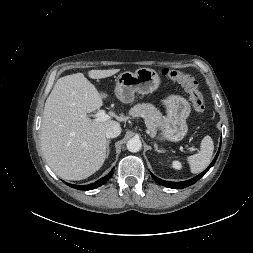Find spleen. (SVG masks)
<instances>
[{"label": "spleen", "instance_id": "3e777b00", "mask_svg": "<svg viewBox=\"0 0 253 253\" xmlns=\"http://www.w3.org/2000/svg\"><path fill=\"white\" fill-rule=\"evenodd\" d=\"M200 147L199 153L187 158L192 173H199L209 165L214 150L212 138L208 135L205 136L201 141Z\"/></svg>", "mask_w": 253, "mask_h": 253}]
</instances>
